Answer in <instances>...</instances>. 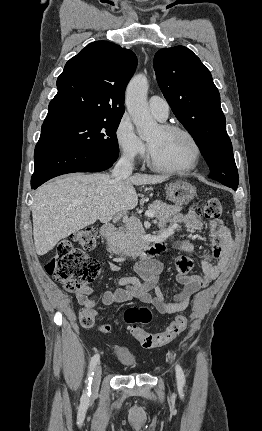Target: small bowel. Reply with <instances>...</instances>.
<instances>
[{
	"label": "small bowel",
	"instance_id": "c3829d8e",
	"mask_svg": "<svg viewBox=\"0 0 262 431\" xmlns=\"http://www.w3.org/2000/svg\"><path fill=\"white\" fill-rule=\"evenodd\" d=\"M175 222L186 226L194 232L202 229V222L197 210L176 216ZM209 226V236L212 242L210 252L205 254L198 253L193 242L189 239H179L175 243V247L179 251L198 258L202 271L201 274L189 275L188 271L192 266V261L188 258L178 260V292L167 294L160 288L159 278L163 272V265L155 258L147 257L139 260L135 265V272L138 278H119L117 281L119 287L107 290L104 293L102 298L103 304L112 306L139 301L154 306L162 314L185 310L195 294L207 288L220 276L230 256L232 240L229 229L219 219L211 220ZM174 231V227L164 224L159 226L161 237H165ZM108 265L113 272H118L120 269L115 262L109 261ZM91 294L92 289L86 288L83 291L76 292L73 298L82 306L81 313L89 312L96 318L98 315L94 309L96 300Z\"/></svg>",
	"mask_w": 262,
	"mask_h": 431
}]
</instances>
